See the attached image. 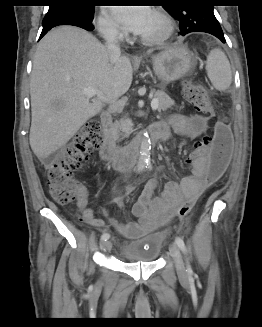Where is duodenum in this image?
I'll use <instances>...</instances> for the list:
<instances>
[{
    "label": "duodenum",
    "mask_w": 262,
    "mask_h": 327,
    "mask_svg": "<svg viewBox=\"0 0 262 327\" xmlns=\"http://www.w3.org/2000/svg\"><path fill=\"white\" fill-rule=\"evenodd\" d=\"M103 141L99 148V157L105 163L119 167L132 168L140 157L141 152L159 140L158 124L153 125L148 136H139L128 145L120 147L116 144L112 123V111L105 110L101 114Z\"/></svg>",
    "instance_id": "duodenum-1"
}]
</instances>
